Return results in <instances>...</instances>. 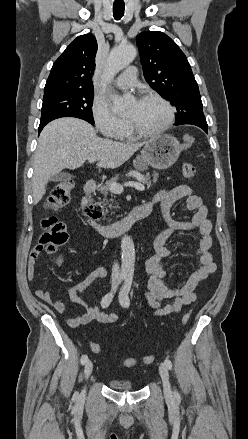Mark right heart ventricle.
<instances>
[{"label":"right heart ventricle","mask_w":248,"mask_h":439,"mask_svg":"<svg viewBox=\"0 0 248 439\" xmlns=\"http://www.w3.org/2000/svg\"><path fill=\"white\" fill-rule=\"evenodd\" d=\"M138 136L130 129L128 123H126L122 132L116 137L117 140L123 142H131L137 140Z\"/></svg>","instance_id":"right-heart-ventricle-1"}]
</instances>
